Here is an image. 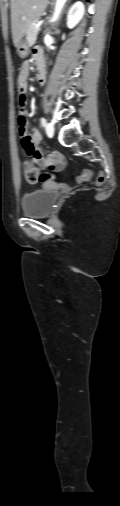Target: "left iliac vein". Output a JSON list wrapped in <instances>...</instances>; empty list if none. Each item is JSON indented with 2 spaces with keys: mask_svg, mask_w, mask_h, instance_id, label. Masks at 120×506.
<instances>
[{
  "mask_svg": "<svg viewBox=\"0 0 120 506\" xmlns=\"http://www.w3.org/2000/svg\"><path fill=\"white\" fill-rule=\"evenodd\" d=\"M46 133L49 137L54 135V125L50 122L46 125Z\"/></svg>",
  "mask_w": 120,
  "mask_h": 506,
  "instance_id": "left-iliac-vein-1",
  "label": "left iliac vein"
}]
</instances>
